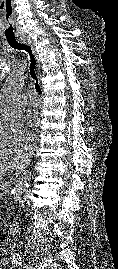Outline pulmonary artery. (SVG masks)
<instances>
[{
	"label": "pulmonary artery",
	"instance_id": "e3ab8cb5",
	"mask_svg": "<svg viewBox=\"0 0 118 269\" xmlns=\"http://www.w3.org/2000/svg\"><path fill=\"white\" fill-rule=\"evenodd\" d=\"M25 102L29 106H34L39 103V98L37 96L27 95Z\"/></svg>",
	"mask_w": 118,
	"mask_h": 269
}]
</instances>
